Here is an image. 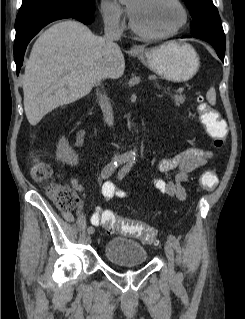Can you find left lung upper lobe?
Listing matches in <instances>:
<instances>
[{
    "mask_svg": "<svg viewBox=\"0 0 245 319\" xmlns=\"http://www.w3.org/2000/svg\"><path fill=\"white\" fill-rule=\"evenodd\" d=\"M191 11L192 36L225 48V34L212 0H183Z\"/></svg>",
    "mask_w": 245,
    "mask_h": 319,
    "instance_id": "5c2ea615",
    "label": "left lung upper lobe"
}]
</instances>
